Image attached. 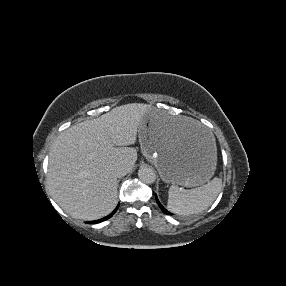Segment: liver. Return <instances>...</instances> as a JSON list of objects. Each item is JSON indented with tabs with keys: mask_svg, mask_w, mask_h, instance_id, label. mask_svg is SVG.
Segmentation results:
<instances>
[{
	"mask_svg": "<svg viewBox=\"0 0 286 286\" xmlns=\"http://www.w3.org/2000/svg\"><path fill=\"white\" fill-rule=\"evenodd\" d=\"M149 111L159 113L180 137L205 133L201 124L186 116H168L151 105L118 106L96 119L63 131L49 152L48 185L55 202L77 219L95 220L111 213L118 203V180L112 167L123 164L127 173L137 161L139 125Z\"/></svg>",
	"mask_w": 286,
	"mask_h": 286,
	"instance_id": "liver-1",
	"label": "liver"
}]
</instances>
